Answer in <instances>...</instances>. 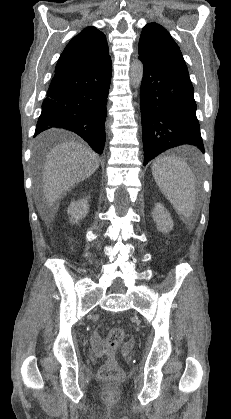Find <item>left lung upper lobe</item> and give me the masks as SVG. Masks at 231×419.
I'll return each instance as SVG.
<instances>
[{
	"label": "left lung upper lobe",
	"mask_w": 231,
	"mask_h": 419,
	"mask_svg": "<svg viewBox=\"0 0 231 419\" xmlns=\"http://www.w3.org/2000/svg\"><path fill=\"white\" fill-rule=\"evenodd\" d=\"M138 52L144 63L188 72L178 45L169 32L157 23L144 26Z\"/></svg>",
	"instance_id": "left-lung-upper-lobe-1"
}]
</instances>
